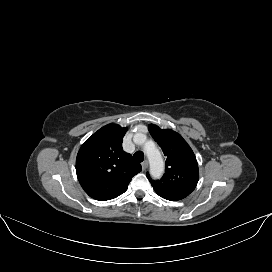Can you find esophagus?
<instances>
[{
	"label": "esophagus",
	"instance_id": "34e87169",
	"mask_svg": "<svg viewBox=\"0 0 272 272\" xmlns=\"http://www.w3.org/2000/svg\"><path fill=\"white\" fill-rule=\"evenodd\" d=\"M141 165H142V169H143V170H146L147 167H148V161H146V160L143 161Z\"/></svg>",
	"mask_w": 272,
	"mask_h": 272
}]
</instances>
